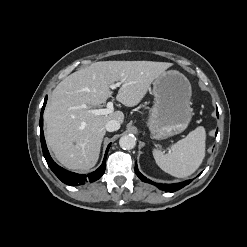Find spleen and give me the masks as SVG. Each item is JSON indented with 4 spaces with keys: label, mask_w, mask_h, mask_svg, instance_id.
Here are the masks:
<instances>
[{
    "label": "spleen",
    "mask_w": 247,
    "mask_h": 247,
    "mask_svg": "<svg viewBox=\"0 0 247 247\" xmlns=\"http://www.w3.org/2000/svg\"><path fill=\"white\" fill-rule=\"evenodd\" d=\"M205 140V129L199 126L172 145L168 153L153 150L156 164L172 176L187 177L199 168L205 157Z\"/></svg>",
    "instance_id": "1"
}]
</instances>
